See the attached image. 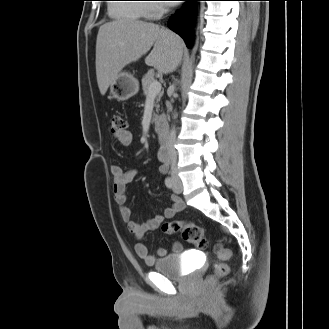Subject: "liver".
<instances>
[{
	"label": "liver",
	"instance_id": "obj_1",
	"mask_svg": "<svg viewBox=\"0 0 329 329\" xmlns=\"http://www.w3.org/2000/svg\"><path fill=\"white\" fill-rule=\"evenodd\" d=\"M183 41L175 33L154 23L120 19L99 28L96 41V76L101 95L121 70L151 52L145 63L168 74L179 65Z\"/></svg>",
	"mask_w": 329,
	"mask_h": 329
}]
</instances>
